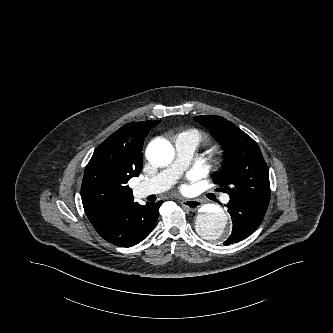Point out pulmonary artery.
<instances>
[{
  "label": "pulmonary artery",
  "mask_w": 333,
  "mask_h": 333,
  "mask_svg": "<svg viewBox=\"0 0 333 333\" xmlns=\"http://www.w3.org/2000/svg\"><path fill=\"white\" fill-rule=\"evenodd\" d=\"M198 144V140L191 135L180 134L177 136L175 139V162L156 176L141 182L136 187V193L140 197H145L151 194L161 193L170 188L189 163L198 148ZM228 199V196H226L225 201H228Z\"/></svg>",
  "instance_id": "pulmonary-artery-1"
}]
</instances>
